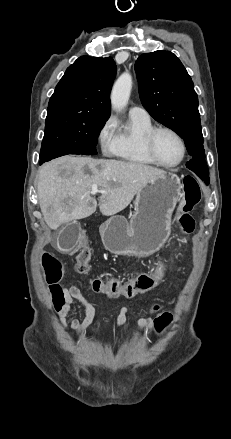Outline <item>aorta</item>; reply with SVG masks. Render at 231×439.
<instances>
[{
    "label": "aorta",
    "mask_w": 231,
    "mask_h": 439,
    "mask_svg": "<svg viewBox=\"0 0 231 439\" xmlns=\"http://www.w3.org/2000/svg\"><path fill=\"white\" fill-rule=\"evenodd\" d=\"M132 89V77L129 73H123L114 83L111 92L112 108L119 112L128 104Z\"/></svg>",
    "instance_id": "aorta-1"
}]
</instances>
